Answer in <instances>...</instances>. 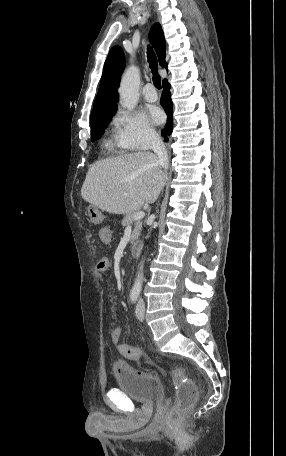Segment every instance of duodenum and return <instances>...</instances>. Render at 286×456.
Returning a JSON list of instances; mask_svg holds the SVG:
<instances>
[{"mask_svg": "<svg viewBox=\"0 0 286 456\" xmlns=\"http://www.w3.org/2000/svg\"><path fill=\"white\" fill-rule=\"evenodd\" d=\"M130 251L133 256H139L142 251V242L141 241L133 242L130 247Z\"/></svg>", "mask_w": 286, "mask_h": 456, "instance_id": "410a0bca", "label": "duodenum"}]
</instances>
